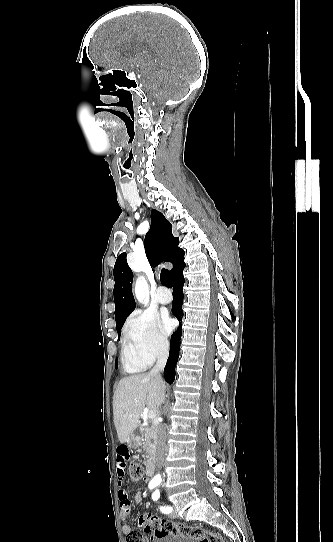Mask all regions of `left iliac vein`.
<instances>
[{
  "label": "left iliac vein",
  "mask_w": 333,
  "mask_h": 542,
  "mask_svg": "<svg viewBox=\"0 0 333 542\" xmlns=\"http://www.w3.org/2000/svg\"><path fill=\"white\" fill-rule=\"evenodd\" d=\"M174 508H175V507H174ZM171 516H172V517H175V516H176V511H173V512L171 513Z\"/></svg>",
  "instance_id": "4c4485c4"
}]
</instances>
